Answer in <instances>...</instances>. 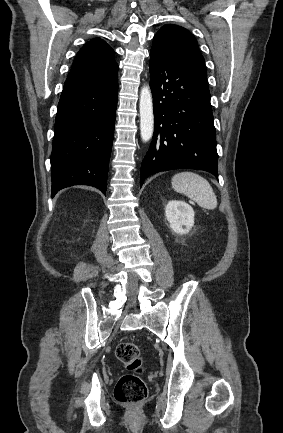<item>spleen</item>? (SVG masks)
Masks as SVG:
<instances>
[{"label":"spleen","mask_w":283,"mask_h":433,"mask_svg":"<svg viewBox=\"0 0 283 433\" xmlns=\"http://www.w3.org/2000/svg\"><path fill=\"white\" fill-rule=\"evenodd\" d=\"M172 188L195 200L202 208H216L217 198L208 180L194 172H178L172 176Z\"/></svg>","instance_id":"3e777b00"}]
</instances>
